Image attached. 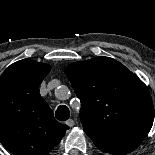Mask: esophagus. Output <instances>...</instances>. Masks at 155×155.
Segmentation results:
<instances>
[{
	"label": "esophagus",
	"mask_w": 155,
	"mask_h": 155,
	"mask_svg": "<svg viewBox=\"0 0 155 155\" xmlns=\"http://www.w3.org/2000/svg\"><path fill=\"white\" fill-rule=\"evenodd\" d=\"M66 125H68L69 127H73L75 125V121L73 119H68L66 121Z\"/></svg>",
	"instance_id": "obj_1"
}]
</instances>
